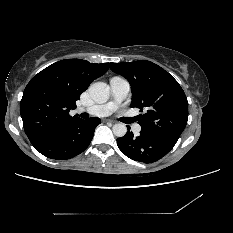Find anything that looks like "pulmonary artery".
I'll return each instance as SVG.
<instances>
[{
	"instance_id": "obj_1",
	"label": "pulmonary artery",
	"mask_w": 233,
	"mask_h": 233,
	"mask_svg": "<svg viewBox=\"0 0 233 233\" xmlns=\"http://www.w3.org/2000/svg\"><path fill=\"white\" fill-rule=\"evenodd\" d=\"M109 85L111 90V99L108 102L95 104L90 107L81 106L76 109V112H86L92 116L98 117L108 116L114 112L119 103L128 95L130 91V84L125 78L115 76L110 79ZM132 128L136 134L141 131V125L138 123L133 124Z\"/></svg>"
}]
</instances>
